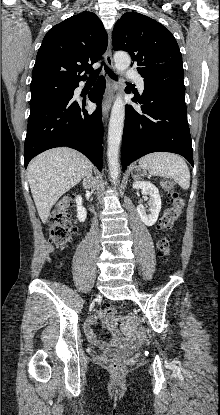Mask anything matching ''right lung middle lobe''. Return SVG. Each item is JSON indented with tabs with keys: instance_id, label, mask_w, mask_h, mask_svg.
<instances>
[{
	"instance_id": "obj_1",
	"label": "right lung middle lobe",
	"mask_w": 220,
	"mask_h": 415,
	"mask_svg": "<svg viewBox=\"0 0 220 415\" xmlns=\"http://www.w3.org/2000/svg\"><path fill=\"white\" fill-rule=\"evenodd\" d=\"M74 85V83L56 79L31 82L30 89L32 96L30 100V109H34L70 94L73 91Z\"/></svg>"
}]
</instances>
